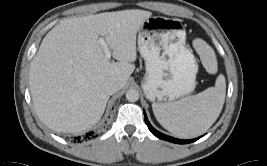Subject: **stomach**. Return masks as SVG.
I'll return each mask as SVG.
<instances>
[{
	"instance_id": "obj_1",
	"label": "stomach",
	"mask_w": 267,
	"mask_h": 166,
	"mask_svg": "<svg viewBox=\"0 0 267 166\" xmlns=\"http://www.w3.org/2000/svg\"><path fill=\"white\" fill-rule=\"evenodd\" d=\"M138 50L145 60L142 89L148 100L170 103L195 89L198 63L186 46V31L179 20L148 18L138 31Z\"/></svg>"
}]
</instances>
